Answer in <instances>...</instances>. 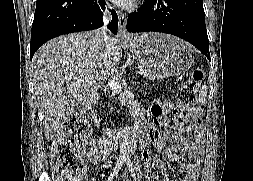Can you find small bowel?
Instances as JSON below:
<instances>
[{
	"instance_id": "obj_1",
	"label": "small bowel",
	"mask_w": 253,
	"mask_h": 181,
	"mask_svg": "<svg viewBox=\"0 0 253 181\" xmlns=\"http://www.w3.org/2000/svg\"><path fill=\"white\" fill-rule=\"evenodd\" d=\"M174 103L171 101L158 102L151 108L154 117L153 125L148 128L143 138L144 151L141 159L146 168H149L153 158L165 155L171 163H176L175 171L183 173V178H175L165 168V165L158 160L156 167L160 176L155 181H197L204 155V146L200 130L190 131L187 135H180L176 129L167 128L166 114L172 110ZM160 128H167L165 134ZM107 141L95 139L90 142L88 159L94 163H100L106 154ZM188 146V152L183 147ZM191 162H186V158Z\"/></svg>"
}]
</instances>
